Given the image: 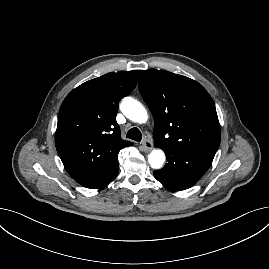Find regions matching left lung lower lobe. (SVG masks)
Returning a JSON list of instances; mask_svg holds the SVG:
<instances>
[{
  "instance_id": "obj_1",
  "label": "left lung lower lobe",
  "mask_w": 269,
  "mask_h": 269,
  "mask_svg": "<svg viewBox=\"0 0 269 269\" xmlns=\"http://www.w3.org/2000/svg\"><path fill=\"white\" fill-rule=\"evenodd\" d=\"M168 163L154 171V177L168 190L179 191L192 187L206 173L215 153L188 148L164 149Z\"/></svg>"
}]
</instances>
